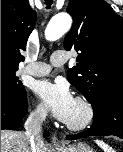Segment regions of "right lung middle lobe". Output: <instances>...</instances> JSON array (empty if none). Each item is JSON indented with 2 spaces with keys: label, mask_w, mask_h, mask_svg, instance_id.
Returning a JSON list of instances; mask_svg holds the SVG:
<instances>
[{
  "label": "right lung middle lobe",
  "mask_w": 123,
  "mask_h": 152,
  "mask_svg": "<svg viewBox=\"0 0 123 152\" xmlns=\"http://www.w3.org/2000/svg\"><path fill=\"white\" fill-rule=\"evenodd\" d=\"M17 70L1 67V99L20 100L25 97V88L15 75Z\"/></svg>",
  "instance_id": "obj_1"
}]
</instances>
